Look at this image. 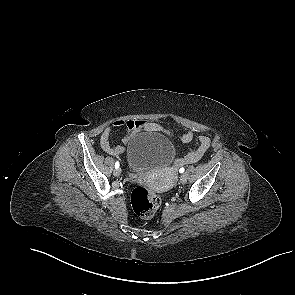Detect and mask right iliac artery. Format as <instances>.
I'll return each mask as SVG.
<instances>
[{
  "mask_svg": "<svg viewBox=\"0 0 295 295\" xmlns=\"http://www.w3.org/2000/svg\"><path fill=\"white\" fill-rule=\"evenodd\" d=\"M115 168H119V162L118 161H116V163H115Z\"/></svg>",
  "mask_w": 295,
  "mask_h": 295,
  "instance_id": "82829eb1",
  "label": "right iliac artery"
}]
</instances>
